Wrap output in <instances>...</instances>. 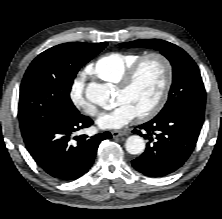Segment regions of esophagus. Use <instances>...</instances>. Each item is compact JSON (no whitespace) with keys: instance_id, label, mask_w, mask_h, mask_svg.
<instances>
[{"instance_id":"obj_1","label":"esophagus","mask_w":222,"mask_h":219,"mask_svg":"<svg viewBox=\"0 0 222 219\" xmlns=\"http://www.w3.org/2000/svg\"><path fill=\"white\" fill-rule=\"evenodd\" d=\"M129 131L128 130H115L112 131V137H120V136H125L128 135Z\"/></svg>"}]
</instances>
